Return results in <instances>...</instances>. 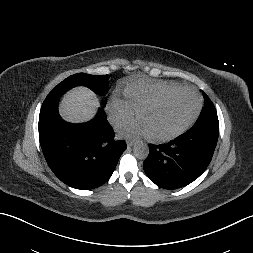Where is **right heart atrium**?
Wrapping results in <instances>:
<instances>
[{"label": "right heart atrium", "instance_id": "obj_1", "mask_svg": "<svg viewBox=\"0 0 253 253\" xmlns=\"http://www.w3.org/2000/svg\"><path fill=\"white\" fill-rule=\"evenodd\" d=\"M110 110L112 115V121L114 124H126L129 123L135 114L131 105L122 99L115 98L110 103Z\"/></svg>", "mask_w": 253, "mask_h": 253}]
</instances>
